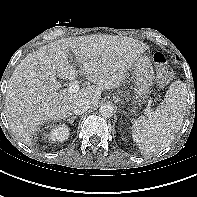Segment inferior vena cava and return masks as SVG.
Instances as JSON below:
<instances>
[{
	"instance_id": "602c4592",
	"label": "inferior vena cava",
	"mask_w": 197,
	"mask_h": 197,
	"mask_svg": "<svg viewBox=\"0 0 197 197\" xmlns=\"http://www.w3.org/2000/svg\"><path fill=\"white\" fill-rule=\"evenodd\" d=\"M91 107V103L88 99L79 98L74 101L72 105V112L75 115H81L82 113L86 112Z\"/></svg>"
}]
</instances>
